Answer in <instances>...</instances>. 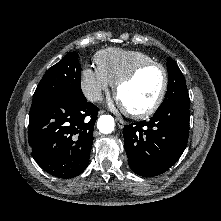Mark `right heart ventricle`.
Listing matches in <instances>:
<instances>
[{
    "label": "right heart ventricle",
    "instance_id": "1",
    "mask_svg": "<svg viewBox=\"0 0 221 221\" xmlns=\"http://www.w3.org/2000/svg\"><path fill=\"white\" fill-rule=\"evenodd\" d=\"M149 61L153 59L144 52L117 48L99 51L95 56L96 69L111 85H115L135 66Z\"/></svg>",
    "mask_w": 221,
    "mask_h": 221
}]
</instances>
